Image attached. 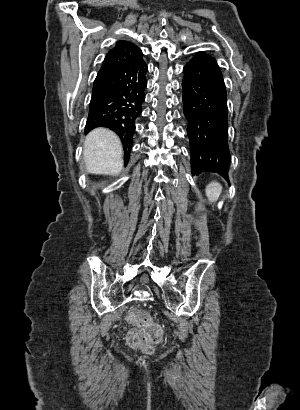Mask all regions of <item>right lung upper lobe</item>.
<instances>
[{"instance_id": "1", "label": "right lung upper lobe", "mask_w": 300, "mask_h": 410, "mask_svg": "<svg viewBox=\"0 0 300 410\" xmlns=\"http://www.w3.org/2000/svg\"><path fill=\"white\" fill-rule=\"evenodd\" d=\"M140 59H142L140 48L131 42L120 40L108 52L100 70H106L122 63Z\"/></svg>"}]
</instances>
